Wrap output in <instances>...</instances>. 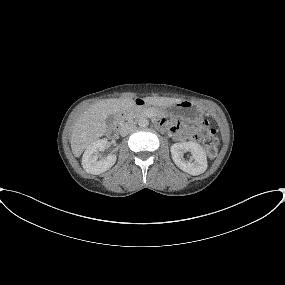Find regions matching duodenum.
Wrapping results in <instances>:
<instances>
[{
  "label": "duodenum",
  "instance_id": "duodenum-1",
  "mask_svg": "<svg viewBox=\"0 0 285 285\" xmlns=\"http://www.w3.org/2000/svg\"><path fill=\"white\" fill-rule=\"evenodd\" d=\"M132 104L134 106V110L133 112L138 115V116H142V111L145 107V101L141 98H137L134 99L132 101ZM123 128V123L121 122V120L118 118L112 128V132L113 133H119Z\"/></svg>",
  "mask_w": 285,
  "mask_h": 285
}]
</instances>
